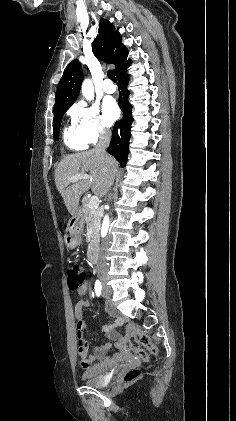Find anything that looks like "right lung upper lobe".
<instances>
[{
    "label": "right lung upper lobe",
    "mask_w": 236,
    "mask_h": 421,
    "mask_svg": "<svg viewBox=\"0 0 236 421\" xmlns=\"http://www.w3.org/2000/svg\"><path fill=\"white\" fill-rule=\"evenodd\" d=\"M92 50L99 59L115 65V74L129 62L125 60L128 50L121 42V35L115 32L114 26L105 19L100 20L98 35L92 43ZM82 80L81 65L75 59L66 67L59 82L54 110L71 106L75 102Z\"/></svg>",
    "instance_id": "obj_1"
}]
</instances>
